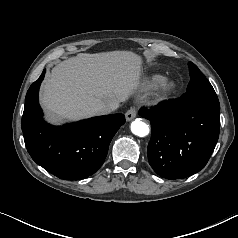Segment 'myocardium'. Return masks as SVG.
I'll return each mask as SVG.
<instances>
[{
    "instance_id": "1",
    "label": "myocardium",
    "mask_w": 238,
    "mask_h": 238,
    "mask_svg": "<svg viewBox=\"0 0 238 238\" xmlns=\"http://www.w3.org/2000/svg\"><path fill=\"white\" fill-rule=\"evenodd\" d=\"M175 88L174 81L164 78L157 84L156 95L159 99L164 100L174 92Z\"/></svg>"
}]
</instances>
